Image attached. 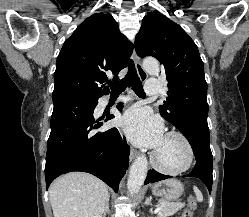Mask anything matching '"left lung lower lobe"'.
I'll return each mask as SVG.
<instances>
[{
	"instance_id": "left-lung-lower-lobe-1",
	"label": "left lung lower lobe",
	"mask_w": 249,
	"mask_h": 217,
	"mask_svg": "<svg viewBox=\"0 0 249 217\" xmlns=\"http://www.w3.org/2000/svg\"><path fill=\"white\" fill-rule=\"evenodd\" d=\"M180 131L191 144L196 158L194 170L185 176L199 178L207 186L209 193H211L213 166L207 119H191L186 123L184 130ZM167 178H170V176L160 174L152 169L148 172L144 184L146 185Z\"/></svg>"
}]
</instances>
